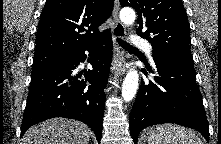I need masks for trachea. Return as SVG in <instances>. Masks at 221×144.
<instances>
[{
  "instance_id": "trachea-1",
  "label": "trachea",
  "mask_w": 221,
  "mask_h": 144,
  "mask_svg": "<svg viewBox=\"0 0 221 144\" xmlns=\"http://www.w3.org/2000/svg\"><path fill=\"white\" fill-rule=\"evenodd\" d=\"M117 42H118V44H119L122 48H124V49H126V50H137V48L133 47L132 45H130L129 43L123 41V40L120 39V38L117 39Z\"/></svg>"
}]
</instances>
